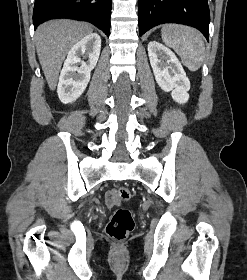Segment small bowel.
Wrapping results in <instances>:
<instances>
[{
	"instance_id": "c3829d8e",
	"label": "small bowel",
	"mask_w": 247,
	"mask_h": 280,
	"mask_svg": "<svg viewBox=\"0 0 247 280\" xmlns=\"http://www.w3.org/2000/svg\"><path fill=\"white\" fill-rule=\"evenodd\" d=\"M105 201L108 206H113L117 203V201L114 199V190H110L107 192L105 196Z\"/></svg>"
}]
</instances>
